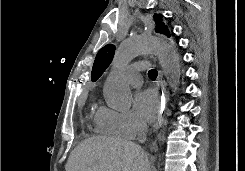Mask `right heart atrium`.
I'll return each mask as SVG.
<instances>
[{
	"label": "right heart atrium",
	"mask_w": 245,
	"mask_h": 171,
	"mask_svg": "<svg viewBox=\"0 0 245 171\" xmlns=\"http://www.w3.org/2000/svg\"><path fill=\"white\" fill-rule=\"evenodd\" d=\"M95 122L99 132L125 138L135 137L144 127L143 122L133 113L106 107L98 110Z\"/></svg>",
	"instance_id": "1"
}]
</instances>
